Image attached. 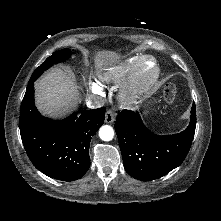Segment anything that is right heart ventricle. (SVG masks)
<instances>
[{
  "instance_id": "e07e8e85",
  "label": "right heart ventricle",
  "mask_w": 221,
  "mask_h": 221,
  "mask_svg": "<svg viewBox=\"0 0 221 221\" xmlns=\"http://www.w3.org/2000/svg\"><path fill=\"white\" fill-rule=\"evenodd\" d=\"M141 56H134L125 61L122 65L115 67L110 71V73L104 78V80L108 81H118L122 78H125L130 74L135 64Z\"/></svg>"
}]
</instances>
